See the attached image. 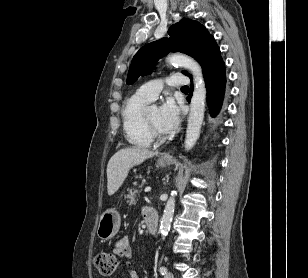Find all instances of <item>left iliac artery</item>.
Here are the masks:
<instances>
[{
  "instance_id": "left-iliac-artery-1",
  "label": "left iliac artery",
  "mask_w": 308,
  "mask_h": 278,
  "mask_svg": "<svg viewBox=\"0 0 308 278\" xmlns=\"http://www.w3.org/2000/svg\"><path fill=\"white\" fill-rule=\"evenodd\" d=\"M159 271H160V273H161L162 275H165V274L167 273V268L164 267V266H162V267H160Z\"/></svg>"
}]
</instances>
